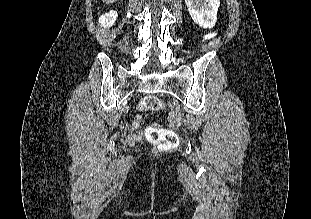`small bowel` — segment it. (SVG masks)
I'll list each match as a JSON object with an SVG mask.
<instances>
[{"mask_svg": "<svg viewBox=\"0 0 311 219\" xmlns=\"http://www.w3.org/2000/svg\"><path fill=\"white\" fill-rule=\"evenodd\" d=\"M142 118L140 116H137L133 119V121L130 124L129 131H128V139L132 140L136 136V129L141 124Z\"/></svg>", "mask_w": 311, "mask_h": 219, "instance_id": "small-bowel-1", "label": "small bowel"}]
</instances>
